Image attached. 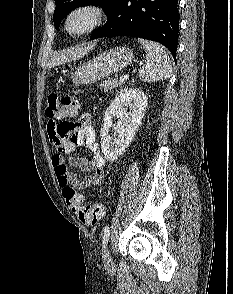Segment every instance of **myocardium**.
Masks as SVG:
<instances>
[{
  "label": "myocardium",
  "mask_w": 233,
  "mask_h": 294,
  "mask_svg": "<svg viewBox=\"0 0 233 294\" xmlns=\"http://www.w3.org/2000/svg\"><path fill=\"white\" fill-rule=\"evenodd\" d=\"M86 12L89 13L92 17L91 23L82 31L80 32H72L69 29V23L71 19L78 13ZM105 18V10L98 4L93 2H83L80 4L75 5L73 8L69 10L66 14L63 27L65 32L73 37H82L85 36L96 28H98Z\"/></svg>",
  "instance_id": "1"
}]
</instances>
